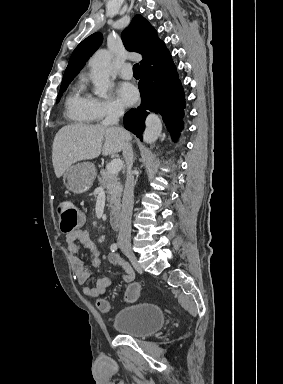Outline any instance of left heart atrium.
<instances>
[{"label": "left heart atrium", "instance_id": "1", "mask_svg": "<svg viewBox=\"0 0 283 384\" xmlns=\"http://www.w3.org/2000/svg\"><path fill=\"white\" fill-rule=\"evenodd\" d=\"M121 102L125 106H132L138 100V91L130 83H121L116 89Z\"/></svg>", "mask_w": 283, "mask_h": 384}]
</instances>
